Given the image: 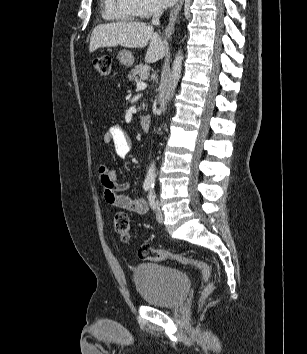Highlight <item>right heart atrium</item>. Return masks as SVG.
<instances>
[{"instance_id": "right-heart-atrium-1", "label": "right heart atrium", "mask_w": 307, "mask_h": 354, "mask_svg": "<svg viewBox=\"0 0 307 354\" xmlns=\"http://www.w3.org/2000/svg\"><path fill=\"white\" fill-rule=\"evenodd\" d=\"M134 8L141 17H147L156 12L159 8L156 0H131Z\"/></svg>"}]
</instances>
